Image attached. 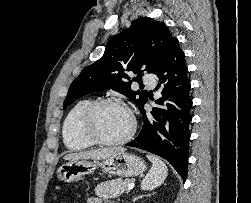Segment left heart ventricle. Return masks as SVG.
I'll use <instances>...</instances> for the list:
<instances>
[{
    "label": "left heart ventricle",
    "mask_w": 251,
    "mask_h": 203,
    "mask_svg": "<svg viewBox=\"0 0 251 203\" xmlns=\"http://www.w3.org/2000/svg\"><path fill=\"white\" fill-rule=\"evenodd\" d=\"M130 127V116L121 106L105 105L96 114L94 128L104 139H119L129 131Z\"/></svg>",
    "instance_id": "b2bd125f"
}]
</instances>
